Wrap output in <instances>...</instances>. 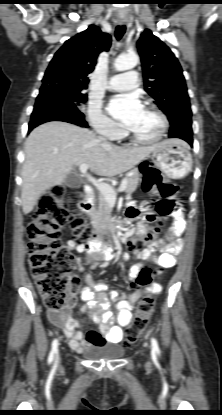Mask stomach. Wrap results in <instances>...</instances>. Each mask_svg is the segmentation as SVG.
I'll return each instance as SVG.
<instances>
[{"mask_svg":"<svg viewBox=\"0 0 222 415\" xmlns=\"http://www.w3.org/2000/svg\"><path fill=\"white\" fill-rule=\"evenodd\" d=\"M148 158L172 179H181L192 170L193 161L189 147L181 140L169 139L157 144Z\"/></svg>","mask_w":222,"mask_h":415,"instance_id":"obj_1","label":"stomach"}]
</instances>
